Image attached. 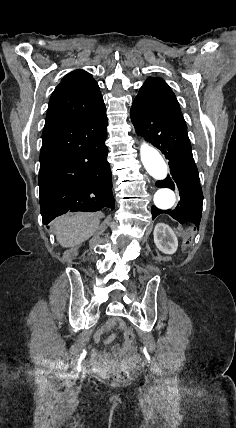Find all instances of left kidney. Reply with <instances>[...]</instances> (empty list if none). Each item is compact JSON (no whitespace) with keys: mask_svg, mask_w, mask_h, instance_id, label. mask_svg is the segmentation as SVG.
Instances as JSON below:
<instances>
[{"mask_svg":"<svg viewBox=\"0 0 236 428\" xmlns=\"http://www.w3.org/2000/svg\"><path fill=\"white\" fill-rule=\"evenodd\" d=\"M154 244L164 254H174L178 248V240L167 224H156L154 228Z\"/></svg>","mask_w":236,"mask_h":428,"instance_id":"1","label":"left kidney"}]
</instances>
